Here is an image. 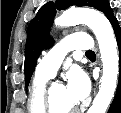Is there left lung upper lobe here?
Here are the masks:
<instances>
[{"mask_svg": "<svg viewBox=\"0 0 121 113\" xmlns=\"http://www.w3.org/2000/svg\"><path fill=\"white\" fill-rule=\"evenodd\" d=\"M74 4L77 6L94 7L102 11L109 21L114 18L112 9L107 0H56L55 3L48 2L43 5L28 26L25 46L26 87H28L41 51L53 44V39L47 31L53 24L56 9L64 10Z\"/></svg>", "mask_w": 121, "mask_h": 113, "instance_id": "left-lung-upper-lobe-1", "label": "left lung upper lobe"}]
</instances>
